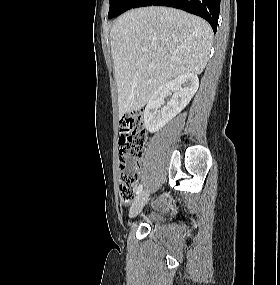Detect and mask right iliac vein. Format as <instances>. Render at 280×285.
Listing matches in <instances>:
<instances>
[{
    "instance_id": "63e3f726",
    "label": "right iliac vein",
    "mask_w": 280,
    "mask_h": 285,
    "mask_svg": "<svg viewBox=\"0 0 280 285\" xmlns=\"http://www.w3.org/2000/svg\"><path fill=\"white\" fill-rule=\"evenodd\" d=\"M148 197H149V194L147 191H143L142 193L139 194V196L137 197V199L134 201V203L132 204L130 208L129 215L131 218L137 216L141 212V210L147 203Z\"/></svg>"
}]
</instances>
